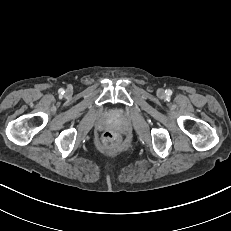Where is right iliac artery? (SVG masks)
Wrapping results in <instances>:
<instances>
[{
	"label": "right iliac artery",
	"mask_w": 231,
	"mask_h": 231,
	"mask_svg": "<svg viewBox=\"0 0 231 231\" xmlns=\"http://www.w3.org/2000/svg\"><path fill=\"white\" fill-rule=\"evenodd\" d=\"M59 93H60V94H64V89H62V88L59 89Z\"/></svg>",
	"instance_id": "right-iliac-artery-1"
}]
</instances>
